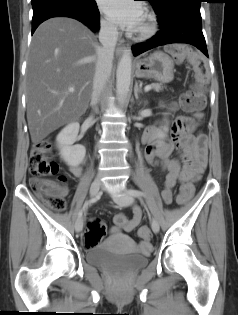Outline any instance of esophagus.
Segmentation results:
<instances>
[{"label":"esophagus","mask_w":238,"mask_h":315,"mask_svg":"<svg viewBox=\"0 0 238 315\" xmlns=\"http://www.w3.org/2000/svg\"><path fill=\"white\" fill-rule=\"evenodd\" d=\"M124 50H125L124 44H122L121 42L118 43V44H117V47H116V54H117V55H121Z\"/></svg>","instance_id":"1"}]
</instances>
